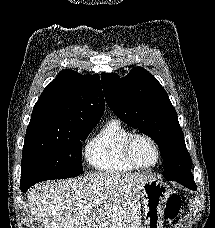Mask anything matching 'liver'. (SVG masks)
I'll list each match as a JSON object with an SVG mask.
<instances>
[{"label": "liver", "mask_w": 215, "mask_h": 228, "mask_svg": "<svg viewBox=\"0 0 215 228\" xmlns=\"http://www.w3.org/2000/svg\"><path fill=\"white\" fill-rule=\"evenodd\" d=\"M147 174L96 172L73 180H50L28 190L27 204L45 228H140L142 184Z\"/></svg>", "instance_id": "obj_1"}]
</instances>
